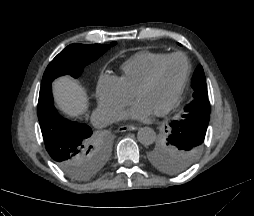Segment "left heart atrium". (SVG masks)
<instances>
[{"label": "left heart atrium", "instance_id": "1", "mask_svg": "<svg viewBox=\"0 0 254 216\" xmlns=\"http://www.w3.org/2000/svg\"><path fill=\"white\" fill-rule=\"evenodd\" d=\"M154 110L142 101H137L126 116L134 120H145L154 114Z\"/></svg>", "mask_w": 254, "mask_h": 216}]
</instances>
